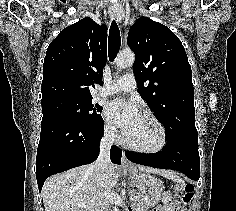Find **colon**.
Masks as SVG:
<instances>
[{"label":"colon","mask_w":236,"mask_h":211,"mask_svg":"<svg viewBox=\"0 0 236 211\" xmlns=\"http://www.w3.org/2000/svg\"><path fill=\"white\" fill-rule=\"evenodd\" d=\"M174 190L181 194V201L184 205H189L194 197V186L190 183H178Z\"/></svg>","instance_id":"colon-1"}]
</instances>
